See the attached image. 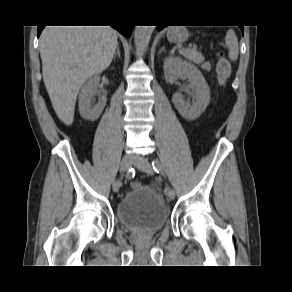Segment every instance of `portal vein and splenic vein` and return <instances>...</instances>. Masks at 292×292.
I'll return each mask as SVG.
<instances>
[{"label":"portal vein and splenic vein","mask_w":292,"mask_h":292,"mask_svg":"<svg viewBox=\"0 0 292 292\" xmlns=\"http://www.w3.org/2000/svg\"><path fill=\"white\" fill-rule=\"evenodd\" d=\"M184 50H185V49H181V50H179V52L182 53Z\"/></svg>","instance_id":"obj_1"}]
</instances>
